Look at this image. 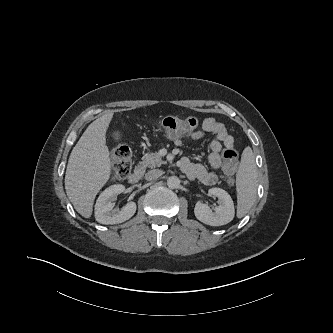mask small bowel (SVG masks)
<instances>
[{
  "label": "small bowel",
  "mask_w": 333,
  "mask_h": 333,
  "mask_svg": "<svg viewBox=\"0 0 333 333\" xmlns=\"http://www.w3.org/2000/svg\"><path fill=\"white\" fill-rule=\"evenodd\" d=\"M206 133H213L216 139L210 143V154L208 162L212 170H218L222 167L221 152L223 148L233 147V137L228 133L226 127L214 118H206L200 130L189 133L192 140H199ZM177 146H182L183 141L179 138L174 140ZM180 167L184 173L191 179H197L202 184L213 186L218 182L215 172L208 170L204 165L194 163L189 158L183 157L180 161Z\"/></svg>",
  "instance_id": "small-bowel-1"
}]
</instances>
